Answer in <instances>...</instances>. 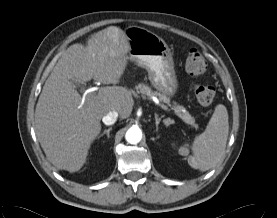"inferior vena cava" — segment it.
I'll return each instance as SVG.
<instances>
[{"label": "inferior vena cava", "mask_w": 277, "mask_h": 218, "mask_svg": "<svg viewBox=\"0 0 277 218\" xmlns=\"http://www.w3.org/2000/svg\"><path fill=\"white\" fill-rule=\"evenodd\" d=\"M118 117V112L116 111H110L107 113L103 118L102 121L105 125H112L116 122Z\"/></svg>", "instance_id": "1"}]
</instances>
